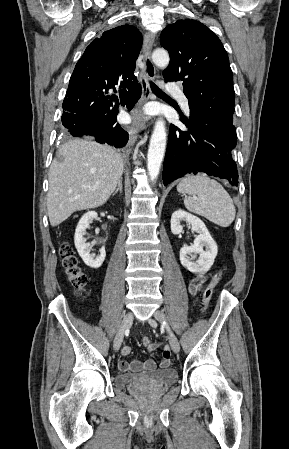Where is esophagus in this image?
<instances>
[{
	"mask_svg": "<svg viewBox=\"0 0 289 449\" xmlns=\"http://www.w3.org/2000/svg\"><path fill=\"white\" fill-rule=\"evenodd\" d=\"M154 43L153 35L146 33L144 36V44L142 49L143 61L145 65V76L141 78V85L143 89L142 97L139 103L132 110V124L129 126V144L133 145L137 139L138 132L143 128L142 120L144 115L142 113L143 105L150 99H153L152 90L149 81H153L156 76V68L151 60V50Z\"/></svg>",
	"mask_w": 289,
	"mask_h": 449,
	"instance_id": "1",
	"label": "esophagus"
}]
</instances>
